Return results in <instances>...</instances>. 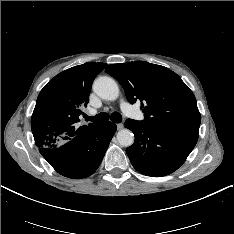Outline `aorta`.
Returning a JSON list of instances; mask_svg holds the SVG:
<instances>
[{
  "instance_id": "762f6f07",
  "label": "aorta",
  "mask_w": 234,
  "mask_h": 234,
  "mask_svg": "<svg viewBox=\"0 0 234 234\" xmlns=\"http://www.w3.org/2000/svg\"><path fill=\"white\" fill-rule=\"evenodd\" d=\"M94 92L102 99L113 101L119 96V87L110 77H99L93 83ZM117 141L121 146L129 147L134 143V135L129 129H122L117 133Z\"/></svg>"
}]
</instances>
